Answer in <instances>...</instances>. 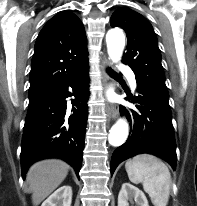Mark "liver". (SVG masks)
Masks as SVG:
<instances>
[{
  "label": "liver",
  "mask_w": 197,
  "mask_h": 206,
  "mask_svg": "<svg viewBox=\"0 0 197 206\" xmlns=\"http://www.w3.org/2000/svg\"><path fill=\"white\" fill-rule=\"evenodd\" d=\"M69 166L57 159H48L33 164L26 175L32 192V203L38 206L66 178Z\"/></svg>",
  "instance_id": "1"
}]
</instances>
